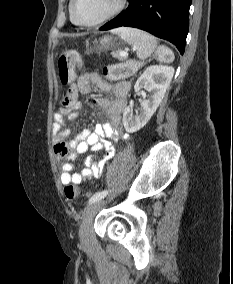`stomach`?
<instances>
[{"instance_id":"stomach-1","label":"stomach","mask_w":233,"mask_h":284,"mask_svg":"<svg viewBox=\"0 0 233 284\" xmlns=\"http://www.w3.org/2000/svg\"><path fill=\"white\" fill-rule=\"evenodd\" d=\"M112 37L111 36H103L102 38L99 39L98 42L95 43V46L99 49H109L110 46H112Z\"/></svg>"}]
</instances>
